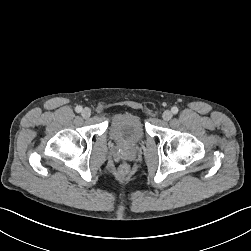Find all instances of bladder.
<instances>
[{
  "mask_svg": "<svg viewBox=\"0 0 251 251\" xmlns=\"http://www.w3.org/2000/svg\"><path fill=\"white\" fill-rule=\"evenodd\" d=\"M110 135L118 144L132 146L143 139L145 129L141 118L136 113L124 111L112 118Z\"/></svg>",
  "mask_w": 251,
  "mask_h": 251,
  "instance_id": "obj_1",
  "label": "bladder"
}]
</instances>
